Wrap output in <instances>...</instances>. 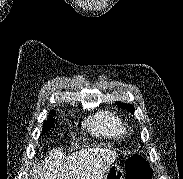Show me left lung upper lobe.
Here are the masks:
<instances>
[{
  "instance_id": "left-lung-upper-lobe-1",
  "label": "left lung upper lobe",
  "mask_w": 183,
  "mask_h": 179,
  "mask_svg": "<svg viewBox=\"0 0 183 179\" xmlns=\"http://www.w3.org/2000/svg\"><path fill=\"white\" fill-rule=\"evenodd\" d=\"M116 104L119 107H121L123 109H126V110H128V111H130L132 113L134 112V107L132 105H130V104H124V103H120V102H117Z\"/></svg>"
}]
</instances>
